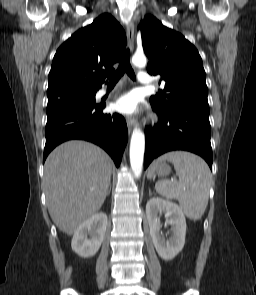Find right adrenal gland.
Returning a JSON list of instances; mask_svg holds the SVG:
<instances>
[{
	"instance_id": "1",
	"label": "right adrenal gland",
	"mask_w": 256,
	"mask_h": 295,
	"mask_svg": "<svg viewBox=\"0 0 256 295\" xmlns=\"http://www.w3.org/2000/svg\"><path fill=\"white\" fill-rule=\"evenodd\" d=\"M110 192H111V185L109 186V190L107 192V196L110 195Z\"/></svg>"
}]
</instances>
